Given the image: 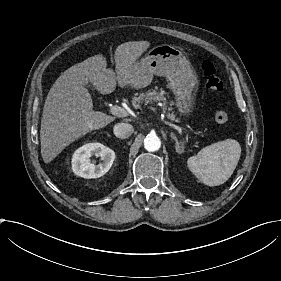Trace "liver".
Segmentation results:
<instances>
[{
  "label": "liver",
  "mask_w": 281,
  "mask_h": 281,
  "mask_svg": "<svg viewBox=\"0 0 281 281\" xmlns=\"http://www.w3.org/2000/svg\"><path fill=\"white\" fill-rule=\"evenodd\" d=\"M150 46L148 41H131L115 51V72L107 68L102 55L89 57L63 72L55 81L45 100L40 129L41 156L50 163L62 150L92 130L115 120L103 112L93 111L89 82L103 95L112 93L116 85L129 84L136 60Z\"/></svg>",
  "instance_id": "obj_1"
}]
</instances>
